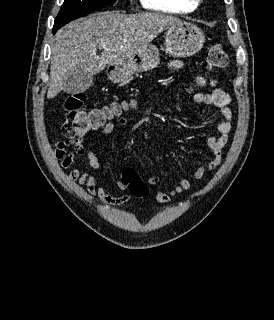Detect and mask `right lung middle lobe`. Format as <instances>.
I'll use <instances>...</instances> for the list:
<instances>
[{"instance_id":"1","label":"right lung middle lobe","mask_w":274,"mask_h":320,"mask_svg":"<svg viewBox=\"0 0 274 320\" xmlns=\"http://www.w3.org/2000/svg\"><path fill=\"white\" fill-rule=\"evenodd\" d=\"M116 0H64L58 13L53 29H59L70 21L80 18L94 9Z\"/></svg>"}]
</instances>
